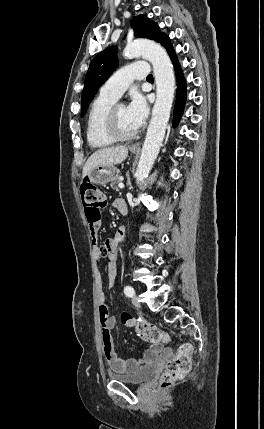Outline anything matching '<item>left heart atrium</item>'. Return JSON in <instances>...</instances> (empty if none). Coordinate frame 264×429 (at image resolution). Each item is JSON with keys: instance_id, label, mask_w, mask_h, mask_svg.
<instances>
[{"instance_id": "1", "label": "left heart atrium", "mask_w": 264, "mask_h": 429, "mask_svg": "<svg viewBox=\"0 0 264 429\" xmlns=\"http://www.w3.org/2000/svg\"><path fill=\"white\" fill-rule=\"evenodd\" d=\"M148 104L145 97L140 93H134L127 106V113L134 125L139 128L148 116Z\"/></svg>"}]
</instances>
